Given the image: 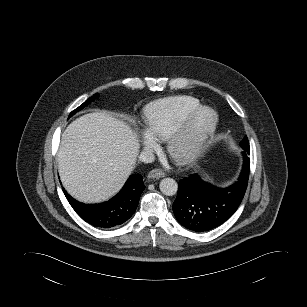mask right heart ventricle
I'll return each mask as SVG.
<instances>
[{"instance_id":"obj_1","label":"right heart ventricle","mask_w":307,"mask_h":307,"mask_svg":"<svg viewBox=\"0 0 307 307\" xmlns=\"http://www.w3.org/2000/svg\"><path fill=\"white\" fill-rule=\"evenodd\" d=\"M198 106L199 100L188 95L154 101L145 109L146 132L156 141H165L186 115Z\"/></svg>"}]
</instances>
